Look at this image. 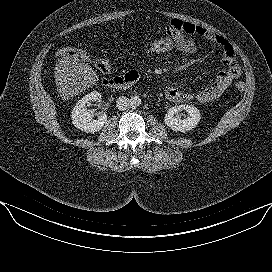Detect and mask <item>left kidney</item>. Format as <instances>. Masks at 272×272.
<instances>
[{"label":"left kidney","mask_w":272,"mask_h":272,"mask_svg":"<svg viewBox=\"0 0 272 272\" xmlns=\"http://www.w3.org/2000/svg\"><path fill=\"white\" fill-rule=\"evenodd\" d=\"M185 110L189 116L186 119H181L178 112ZM200 112L192 105H178L168 109L164 122L174 131L185 132L195 128L200 122Z\"/></svg>","instance_id":"1"}]
</instances>
